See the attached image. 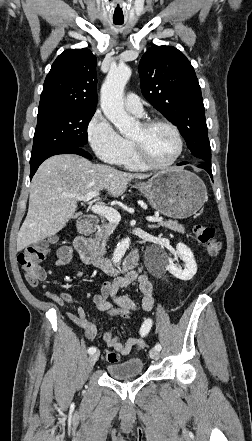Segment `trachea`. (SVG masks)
Segmentation results:
<instances>
[{
	"instance_id": "obj_1",
	"label": "trachea",
	"mask_w": 252,
	"mask_h": 441,
	"mask_svg": "<svg viewBox=\"0 0 252 441\" xmlns=\"http://www.w3.org/2000/svg\"><path fill=\"white\" fill-rule=\"evenodd\" d=\"M124 22L123 21H114V24L116 25H122Z\"/></svg>"
}]
</instances>
